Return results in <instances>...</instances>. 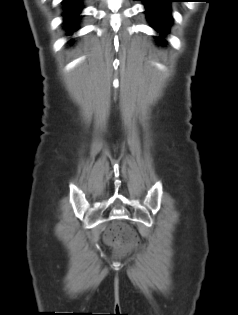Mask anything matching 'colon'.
Here are the masks:
<instances>
[{
  "label": "colon",
  "instance_id": "5ec220e1",
  "mask_svg": "<svg viewBox=\"0 0 238 315\" xmlns=\"http://www.w3.org/2000/svg\"><path fill=\"white\" fill-rule=\"evenodd\" d=\"M107 239L109 242L118 243L125 248H129L137 242L135 233L122 223H116L110 228Z\"/></svg>",
  "mask_w": 238,
  "mask_h": 315
}]
</instances>
